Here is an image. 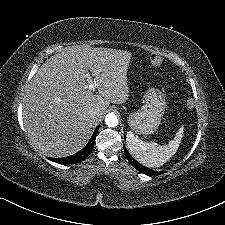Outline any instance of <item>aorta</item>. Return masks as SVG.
I'll return each instance as SVG.
<instances>
[{
  "label": "aorta",
  "instance_id": "1",
  "mask_svg": "<svg viewBox=\"0 0 225 225\" xmlns=\"http://www.w3.org/2000/svg\"><path fill=\"white\" fill-rule=\"evenodd\" d=\"M105 124L108 127H116L118 125V118L115 114L109 113L105 117Z\"/></svg>",
  "mask_w": 225,
  "mask_h": 225
}]
</instances>
